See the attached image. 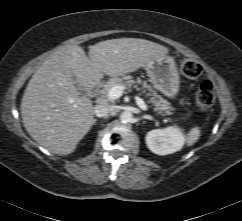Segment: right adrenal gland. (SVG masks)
Instances as JSON below:
<instances>
[{
  "mask_svg": "<svg viewBox=\"0 0 242 221\" xmlns=\"http://www.w3.org/2000/svg\"><path fill=\"white\" fill-rule=\"evenodd\" d=\"M97 122V119H94V123H96Z\"/></svg>",
  "mask_w": 242,
  "mask_h": 221,
  "instance_id": "obj_1",
  "label": "right adrenal gland"
}]
</instances>
